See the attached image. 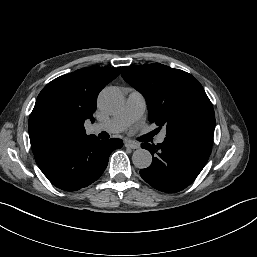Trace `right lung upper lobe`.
Returning <instances> with one entry per match:
<instances>
[{"instance_id": "1", "label": "right lung upper lobe", "mask_w": 257, "mask_h": 257, "mask_svg": "<svg viewBox=\"0 0 257 257\" xmlns=\"http://www.w3.org/2000/svg\"><path fill=\"white\" fill-rule=\"evenodd\" d=\"M119 73L120 68L86 67L58 77L42 89L28 123L35 158L94 136L86 134L84 122L94 121L99 92Z\"/></svg>"}]
</instances>
